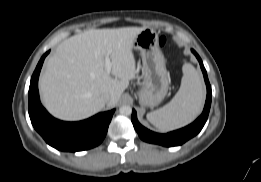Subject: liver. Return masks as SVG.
I'll return each instance as SVG.
<instances>
[{
  "mask_svg": "<svg viewBox=\"0 0 261 182\" xmlns=\"http://www.w3.org/2000/svg\"><path fill=\"white\" fill-rule=\"evenodd\" d=\"M145 27L90 29L58 45L46 63L39 88L47 110L57 118H88L105 106H115L136 76L132 52ZM112 62L111 77L105 57ZM110 96L106 102L104 97Z\"/></svg>",
  "mask_w": 261,
  "mask_h": 182,
  "instance_id": "6515ba94",
  "label": "liver"
}]
</instances>
